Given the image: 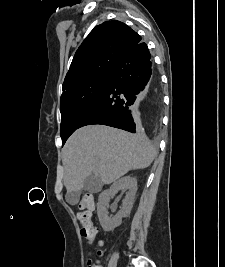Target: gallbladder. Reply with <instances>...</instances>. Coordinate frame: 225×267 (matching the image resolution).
<instances>
[{"label": "gallbladder", "instance_id": "obj_1", "mask_svg": "<svg viewBox=\"0 0 225 267\" xmlns=\"http://www.w3.org/2000/svg\"><path fill=\"white\" fill-rule=\"evenodd\" d=\"M101 188V180L92 173L84 180V185L81 190L90 193H96L99 192ZM79 195L80 191L68 192L66 194V201L71 205H76L79 202Z\"/></svg>", "mask_w": 225, "mask_h": 267}]
</instances>
